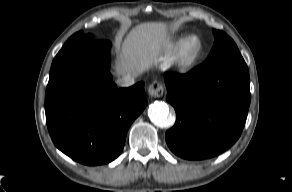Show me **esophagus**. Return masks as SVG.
I'll return each instance as SVG.
<instances>
[{
	"instance_id": "1",
	"label": "esophagus",
	"mask_w": 292,
	"mask_h": 192,
	"mask_svg": "<svg viewBox=\"0 0 292 192\" xmlns=\"http://www.w3.org/2000/svg\"><path fill=\"white\" fill-rule=\"evenodd\" d=\"M148 94L153 98L161 97L164 94V86L158 82H152L148 87Z\"/></svg>"
}]
</instances>
